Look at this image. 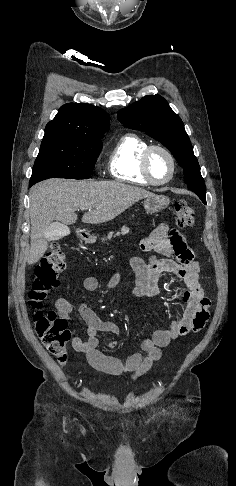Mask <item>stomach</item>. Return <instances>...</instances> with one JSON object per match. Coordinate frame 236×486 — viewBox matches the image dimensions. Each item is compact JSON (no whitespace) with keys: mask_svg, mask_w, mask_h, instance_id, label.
I'll return each instance as SVG.
<instances>
[{"mask_svg":"<svg viewBox=\"0 0 236 486\" xmlns=\"http://www.w3.org/2000/svg\"><path fill=\"white\" fill-rule=\"evenodd\" d=\"M170 203L164 195H152L144 200V209L147 213L153 214L165 209Z\"/></svg>","mask_w":236,"mask_h":486,"instance_id":"obj_1","label":"stomach"}]
</instances>
